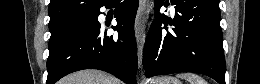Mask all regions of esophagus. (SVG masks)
Returning a JSON list of instances; mask_svg holds the SVG:
<instances>
[{
  "label": "esophagus",
  "instance_id": "1",
  "mask_svg": "<svg viewBox=\"0 0 260 84\" xmlns=\"http://www.w3.org/2000/svg\"><path fill=\"white\" fill-rule=\"evenodd\" d=\"M147 0H140L139 7L135 18V37L138 51V67H142L143 47L145 43V27L143 24V16L146 9Z\"/></svg>",
  "mask_w": 260,
  "mask_h": 84
}]
</instances>
